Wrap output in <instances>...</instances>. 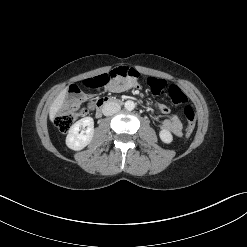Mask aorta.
<instances>
[{"label":"aorta","mask_w":247,"mask_h":247,"mask_svg":"<svg viewBox=\"0 0 247 247\" xmlns=\"http://www.w3.org/2000/svg\"><path fill=\"white\" fill-rule=\"evenodd\" d=\"M135 108V103L131 100L125 102V109L131 111Z\"/></svg>","instance_id":"762f6f07"}]
</instances>
